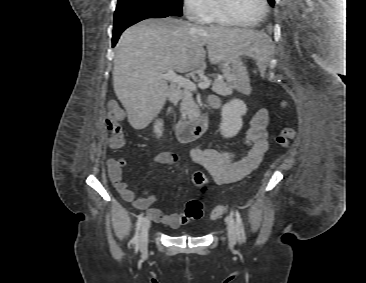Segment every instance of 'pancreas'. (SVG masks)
Instances as JSON below:
<instances>
[{
    "instance_id": "1",
    "label": "pancreas",
    "mask_w": 366,
    "mask_h": 283,
    "mask_svg": "<svg viewBox=\"0 0 366 283\" xmlns=\"http://www.w3.org/2000/svg\"><path fill=\"white\" fill-rule=\"evenodd\" d=\"M198 81L202 82V80ZM211 90L218 95L228 96L232 94L233 87L223 79L216 78L212 84ZM181 98V113L183 115H187L189 118H193L194 113L197 111V105L194 101L192 93L189 91H184Z\"/></svg>"
}]
</instances>
